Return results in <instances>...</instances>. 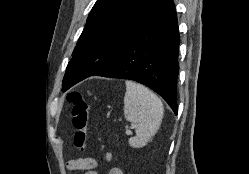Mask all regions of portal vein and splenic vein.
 Returning <instances> with one entry per match:
<instances>
[{
  "label": "portal vein and splenic vein",
  "mask_w": 249,
  "mask_h": 174,
  "mask_svg": "<svg viewBox=\"0 0 249 174\" xmlns=\"http://www.w3.org/2000/svg\"><path fill=\"white\" fill-rule=\"evenodd\" d=\"M131 128H134V126L132 125V127ZM126 134L127 135H131L132 134V132L130 131V130H126Z\"/></svg>",
  "instance_id": "obj_1"
}]
</instances>
